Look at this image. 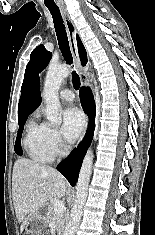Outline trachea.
I'll return each mask as SVG.
<instances>
[{"instance_id":"3493384b","label":"trachea","mask_w":155,"mask_h":235,"mask_svg":"<svg viewBox=\"0 0 155 235\" xmlns=\"http://www.w3.org/2000/svg\"><path fill=\"white\" fill-rule=\"evenodd\" d=\"M48 9L53 18L54 28H55L58 45L61 50V53L66 63L69 65H72L73 58H72V54L70 51L69 41H68V37H67L66 30H65V25L63 22L61 12L59 8L48 7ZM72 82H73L74 88L78 90L80 87V78L75 70L72 71Z\"/></svg>"}]
</instances>
